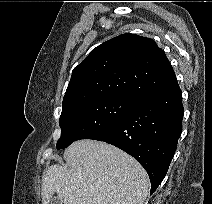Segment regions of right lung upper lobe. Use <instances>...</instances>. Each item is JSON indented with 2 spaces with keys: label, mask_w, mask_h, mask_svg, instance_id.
<instances>
[{
  "label": "right lung upper lobe",
  "mask_w": 212,
  "mask_h": 204,
  "mask_svg": "<svg viewBox=\"0 0 212 204\" xmlns=\"http://www.w3.org/2000/svg\"><path fill=\"white\" fill-rule=\"evenodd\" d=\"M176 84L171 64L155 41L122 34L97 46L73 69L63 108L108 96L138 102Z\"/></svg>",
  "instance_id": "1"
}]
</instances>
